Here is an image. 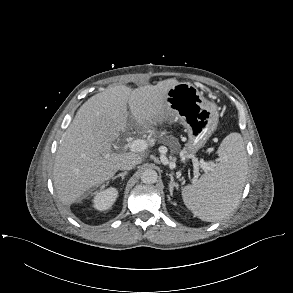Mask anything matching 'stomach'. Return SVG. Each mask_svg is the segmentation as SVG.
<instances>
[{"label":"stomach","instance_id":"obj_1","mask_svg":"<svg viewBox=\"0 0 293 293\" xmlns=\"http://www.w3.org/2000/svg\"><path fill=\"white\" fill-rule=\"evenodd\" d=\"M167 112L164 119L179 121L188 132L187 151L196 153L210 138L218 125L219 109L192 84L180 82L166 95Z\"/></svg>","mask_w":293,"mask_h":293}]
</instances>
